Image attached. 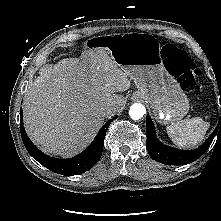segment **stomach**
<instances>
[{
	"label": "stomach",
	"instance_id": "obj_1",
	"mask_svg": "<svg viewBox=\"0 0 221 221\" xmlns=\"http://www.w3.org/2000/svg\"><path fill=\"white\" fill-rule=\"evenodd\" d=\"M104 48L131 79L137 91L133 99H143L161 124L181 120L189 110V99L163 65L157 39L147 33L111 34L89 39L84 51Z\"/></svg>",
	"mask_w": 221,
	"mask_h": 221
}]
</instances>
